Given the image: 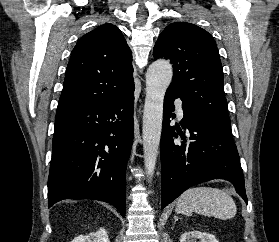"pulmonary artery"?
<instances>
[{
    "label": "pulmonary artery",
    "mask_w": 279,
    "mask_h": 242,
    "mask_svg": "<svg viewBox=\"0 0 279 242\" xmlns=\"http://www.w3.org/2000/svg\"><path fill=\"white\" fill-rule=\"evenodd\" d=\"M176 113L177 116L182 119L184 117V111H183V107H182V102L181 100H176Z\"/></svg>",
    "instance_id": "obj_1"
}]
</instances>
